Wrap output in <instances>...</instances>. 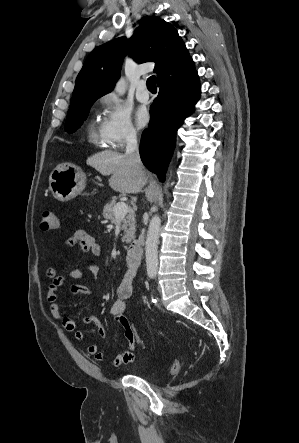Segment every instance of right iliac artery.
Listing matches in <instances>:
<instances>
[{"instance_id":"obj_1","label":"right iliac artery","mask_w":299,"mask_h":443,"mask_svg":"<svg viewBox=\"0 0 299 443\" xmlns=\"http://www.w3.org/2000/svg\"><path fill=\"white\" fill-rule=\"evenodd\" d=\"M155 275H156L155 273H150V274H149V277H150V278H154Z\"/></svg>"}]
</instances>
